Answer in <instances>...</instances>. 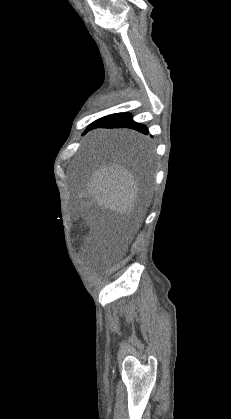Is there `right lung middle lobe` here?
<instances>
[{
  "mask_svg": "<svg viewBox=\"0 0 231 419\" xmlns=\"http://www.w3.org/2000/svg\"><path fill=\"white\" fill-rule=\"evenodd\" d=\"M95 122H93L92 124H94ZM91 125H89V127L86 130V132L89 130V128L91 127ZM128 144L130 145L131 148H133V147H137L139 144H141V142L128 140Z\"/></svg>",
  "mask_w": 231,
  "mask_h": 419,
  "instance_id": "right-lung-middle-lobe-1",
  "label": "right lung middle lobe"
}]
</instances>
